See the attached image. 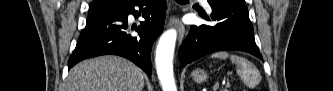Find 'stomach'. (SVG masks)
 <instances>
[{
  "label": "stomach",
  "mask_w": 333,
  "mask_h": 91,
  "mask_svg": "<svg viewBox=\"0 0 333 91\" xmlns=\"http://www.w3.org/2000/svg\"><path fill=\"white\" fill-rule=\"evenodd\" d=\"M192 78L197 83H202L207 80L208 75L207 73L202 69H195L192 73Z\"/></svg>",
  "instance_id": "1"
}]
</instances>
